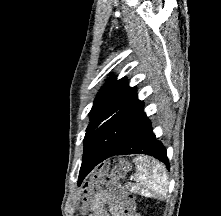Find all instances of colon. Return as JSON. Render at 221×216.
Listing matches in <instances>:
<instances>
[{"label": "colon", "instance_id": "1", "mask_svg": "<svg viewBox=\"0 0 221 216\" xmlns=\"http://www.w3.org/2000/svg\"><path fill=\"white\" fill-rule=\"evenodd\" d=\"M126 169V164L120 162L118 168L109 174V165H103L94 172L91 182L84 191L83 207L87 208L98 202L100 198V184L106 179L108 194L115 201L123 216H138L135 211L134 196L127 192L121 185L118 184L116 176L123 173Z\"/></svg>", "mask_w": 221, "mask_h": 216}]
</instances>
